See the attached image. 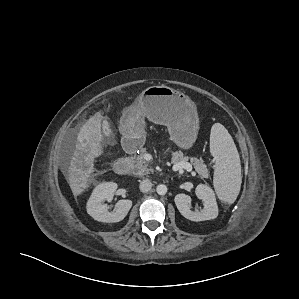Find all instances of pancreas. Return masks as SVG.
<instances>
[{"label":"pancreas","instance_id":"pancreas-1","mask_svg":"<svg viewBox=\"0 0 299 299\" xmlns=\"http://www.w3.org/2000/svg\"><path fill=\"white\" fill-rule=\"evenodd\" d=\"M130 164H131V169H132V174L142 177L144 175H147L149 173L153 172V169L149 168L148 162L144 160L143 154L137 156V157H129L128 158ZM189 160V157L184 156L182 152L176 151L172 153V163H181V162H187ZM191 163L194 165V168L196 172L201 176V177H206L208 175V171L206 168V165L204 164L202 159L198 158H190Z\"/></svg>","mask_w":299,"mask_h":299}]
</instances>
